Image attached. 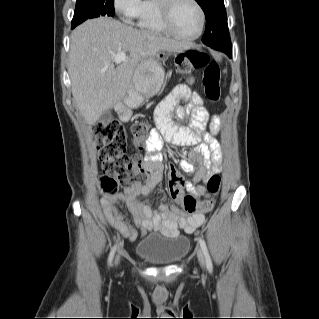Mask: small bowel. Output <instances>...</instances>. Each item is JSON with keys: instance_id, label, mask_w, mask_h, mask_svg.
<instances>
[{"instance_id": "c3829d8e", "label": "small bowel", "mask_w": 319, "mask_h": 319, "mask_svg": "<svg viewBox=\"0 0 319 319\" xmlns=\"http://www.w3.org/2000/svg\"><path fill=\"white\" fill-rule=\"evenodd\" d=\"M179 100L187 102L186 106H177ZM175 110L179 119L185 120L190 116L188 127L178 128L171 122L170 115ZM210 118L208 110L203 105V98L197 91H192L186 84H179L160 102L156 110V126L149 134L146 145V162L149 174L143 182H136L118 194L106 196L102 200L104 215L107 221L124 237L133 241L137 238L136 229L112 205L119 201L133 217L136 225L143 233L160 231L163 235H176L179 229L192 232L205 222L202 211L187 212L176 203L167 201L164 197L153 209L146 199L139 196L149 195L157 186L162 177L164 166L157 154L162 148V140L180 146H194L190 153L192 161L200 165V169L193 177L194 185L188 189L197 195L206 194V183L213 176L221 172L222 152L221 146L214 135L220 129V118L215 115L211 118L209 131L206 130ZM158 143L160 149H154L151 144ZM211 167L210 170L208 168ZM178 168L188 174L195 172L194 165L189 160H181ZM170 172L177 170L173 164L169 166Z\"/></svg>"}]
</instances>
